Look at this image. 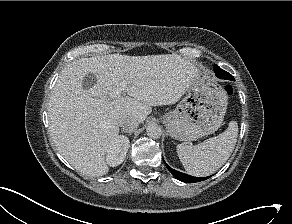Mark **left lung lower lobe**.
I'll use <instances>...</instances> for the list:
<instances>
[{
  "instance_id": "1",
  "label": "left lung lower lobe",
  "mask_w": 292,
  "mask_h": 224,
  "mask_svg": "<svg viewBox=\"0 0 292 224\" xmlns=\"http://www.w3.org/2000/svg\"><path fill=\"white\" fill-rule=\"evenodd\" d=\"M214 71H215V73H216V75L218 77H223V78L228 79V77L224 76V74H223V73H227V72H225L221 68H216V69H214ZM165 165L167 166L168 170L172 173V175L176 179H178V180H180L182 182L195 183V182L203 181V180L211 177V176H208V177H193V176H190V175H187L185 173H181L179 171H176V170L172 169L166 163H165Z\"/></svg>"
}]
</instances>
